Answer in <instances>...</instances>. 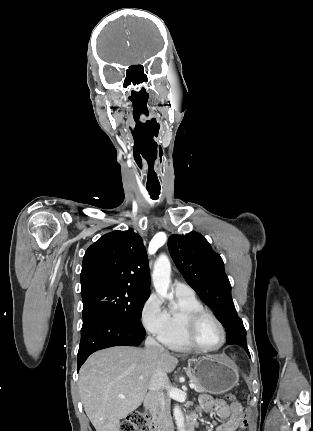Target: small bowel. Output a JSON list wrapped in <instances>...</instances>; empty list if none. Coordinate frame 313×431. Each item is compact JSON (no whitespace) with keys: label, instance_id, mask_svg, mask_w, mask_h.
<instances>
[{"label":"small bowel","instance_id":"small-bowel-1","mask_svg":"<svg viewBox=\"0 0 313 431\" xmlns=\"http://www.w3.org/2000/svg\"><path fill=\"white\" fill-rule=\"evenodd\" d=\"M210 410L216 413L220 421L215 431H236L249 426L248 415L239 403L229 405L223 399H213L209 395H202L200 405L193 414L197 416L200 411Z\"/></svg>","mask_w":313,"mask_h":431}]
</instances>
